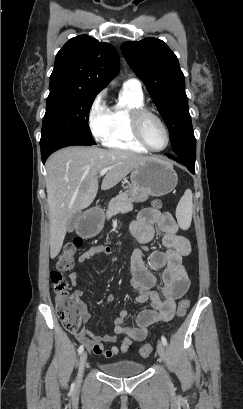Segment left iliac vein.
I'll return each mask as SVG.
<instances>
[{
	"label": "left iliac vein",
	"instance_id": "obj_1",
	"mask_svg": "<svg viewBox=\"0 0 243 409\" xmlns=\"http://www.w3.org/2000/svg\"><path fill=\"white\" fill-rule=\"evenodd\" d=\"M157 352L162 361H165V347L161 341L157 343Z\"/></svg>",
	"mask_w": 243,
	"mask_h": 409
}]
</instances>
